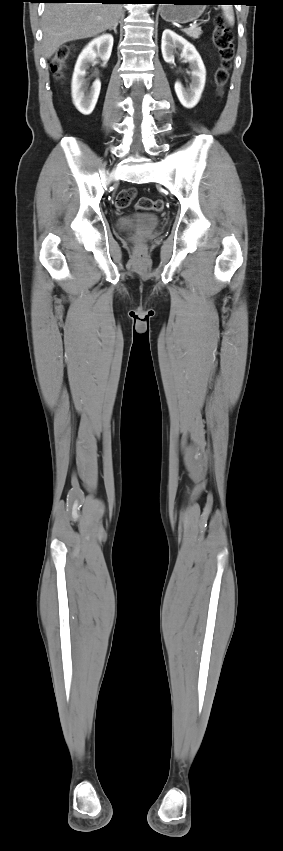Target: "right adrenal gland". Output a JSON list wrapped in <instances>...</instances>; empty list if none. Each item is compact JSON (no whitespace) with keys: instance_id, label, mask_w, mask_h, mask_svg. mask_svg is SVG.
<instances>
[{"instance_id":"1","label":"right adrenal gland","mask_w":283,"mask_h":851,"mask_svg":"<svg viewBox=\"0 0 283 851\" xmlns=\"http://www.w3.org/2000/svg\"><path fill=\"white\" fill-rule=\"evenodd\" d=\"M117 25H118V23H116V25H114V27L110 28L109 31L113 30L114 33L117 34V30H116Z\"/></svg>"}]
</instances>
